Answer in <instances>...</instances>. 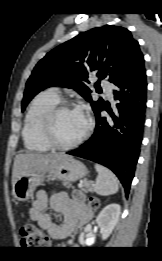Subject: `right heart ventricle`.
<instances>
[{"label":"right heart ventricle","mask_w":162,"mask_h":261,"mask_svg":"<svg viewBox=\"0 0 162 261\" xmlns=\"http://www.w3.org/2000/svg\"><path fill=\"white\" fill-rule=\"evenodd\" d=\"M59 96L52 91L37 94L31 101L24 118L22 137L24 146L33 152H47L51 149L42 132L45 114L59 103Z\"/></svg>","instance_id":"right-heart-ventricle-1"}]
</instances>
